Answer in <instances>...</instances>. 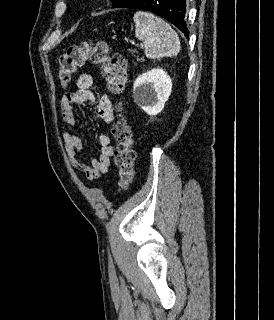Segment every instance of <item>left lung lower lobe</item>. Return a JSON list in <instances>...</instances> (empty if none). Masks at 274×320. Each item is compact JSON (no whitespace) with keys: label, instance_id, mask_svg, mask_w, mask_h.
I'll list each match as a JSON object with an SVG mask.
<instances>
[{"label":"left lung lower lobe","instance_id":"0a47b994","mask_svg":"<svg viewBox=\"0 0 274 320\" xmlns=\"http://www.w3.org/2000/svg\"><path fill=\"white\" fill-rule=\"evenodd\" d=\"M122 8H135L153 12L173 23L186 37L189 35L185 22V0H129Z\"/></svg>","mask_w":274,"mask_h":320}]
</instances>
